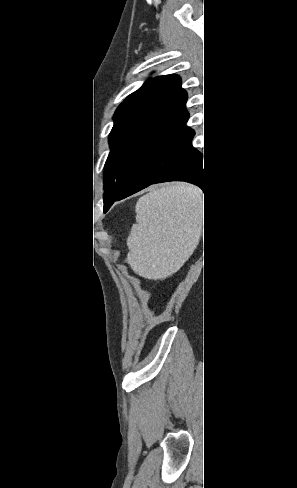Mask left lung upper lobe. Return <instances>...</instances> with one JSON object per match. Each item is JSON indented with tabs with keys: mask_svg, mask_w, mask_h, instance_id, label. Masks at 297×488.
Masks as SVG:
<instances>
[{
	"mask_svg": "<svg viewBox=\"0 0 297 488\" xmlns=\"http://www.w3.org/2000/svg\"><path fill=\"white\" fill-rule=\"evenodd\" d=\"M187 93L178 75L146 81L117 108L105 163L104 208L129 184L138 170L185 128Z\"/></svg>",
	"mask_w": 297,
	"mask_h": 488,
	"instance_id": "1",
	"label": "left lung upper lobe"
}]
</instances>
